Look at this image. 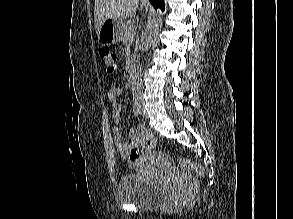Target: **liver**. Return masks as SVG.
I'll return each mask as SVG.
<instances>
[{
	"label": "liver",
	"mask_w": 293,
	"mask_h": 219,
	"mask_svg": "<svg viewBox=\"0 0 293 219\" xmlns=\"http://www.w3.org/2000/svg\"><path fill=\"white\" fill-rule=\"evenodd\" d=\"M139 0H95L94 19L98 34L109 18H131L136 14Z\"/></svg>",
	"instance_id": "liver-1"
}]
</instances>
